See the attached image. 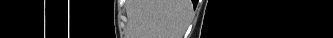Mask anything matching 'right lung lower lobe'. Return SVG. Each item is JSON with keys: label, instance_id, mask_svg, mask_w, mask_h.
Returning <instances> with one entry per match:
<instances>
[{"label": "right lung lower lobe", "instance_id": "1", "mask_svg": "<svg viewBox=\"0 0 333 38\" xmlns=\"http://www.w3.org/2000/svg\"><path fill=\"white\" fill-rule=\"evenodd\" d=\"M194 5H196V2L195 1H192Z\"/></svg>", "mask_w": 333, "mask_h": 38}]
</instances>
